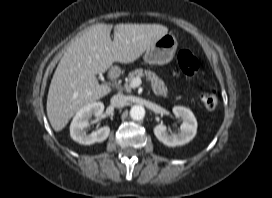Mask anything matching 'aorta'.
I'll return each instance as SVG.
<instances>
[{
  "mask_svg": "<svg viewBox=\"0 0 272 198\" xmlns=\"http://www.w3.org/2000/svg\"><path fill=\"white\" fill-rule=\"evenodd\" d=\"M130 116L133 120L140 121L145 117V109L141 105H134L130 109Z\"/></svg>",
  "mask_w": 272,
  "mask_h": 198,
  "instance_id": "762f6f07",
  "label": "aorta"
}]
</instances>
